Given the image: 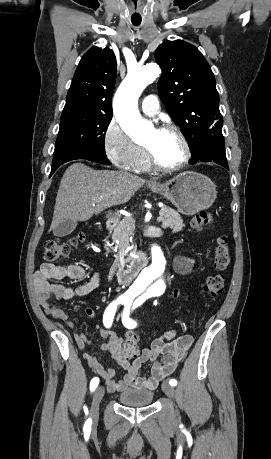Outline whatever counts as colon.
Segmentation results:
<instances>
[{"mask_svg": "<svg viewBox=\"0 0 271 459\" xmlns=\"http://www.w3.org/2000/svg\"><path fill=\"white\" fill-rule=\"evenodd\" d=\"M212 223V215L208 211L196 214L191 220V227L195 230H202ZM83 239L82 235L71 238L64 242L58 238L46 241L44 247V258L47 261H56L69 255L71 249ZM232 264V256L225 236H219L215 248L214 265L219 271L227 270ZM224 289V277L222 275L210 276L204 285L207 295L212 298L219 296ZM139 355V335L130 331L125 336L122 348V356L125 360H131Z\"/></svg>", "mask_w": 271, "mask_h": 459, "instance_id": "5ec220e1", "label": "colon"}]
</instances>
